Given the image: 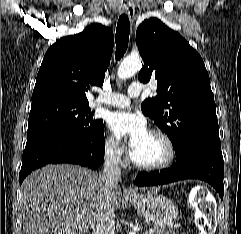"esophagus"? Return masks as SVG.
Segmentation results:
<instances>
[{
	"mask_svg": "<svg viewBox=\"0 0 241 234\" xmlns=\"http://www.w3.org/2000/svg\"><path fill=\"white\" fill-rule=\"evenodd\" d=\"M121 12H124L130 20L134 18L135 15V5L133 3V0H125V4L121 8ZM126 193L129 195H132L135 193V190L132 186H129L126 189Z\"/></svg>",
	"mask_w": 241,
	"mask_h": 234,
	"instance_id": "obj_1",
	"label": "esophagus"
}]
</instances>
